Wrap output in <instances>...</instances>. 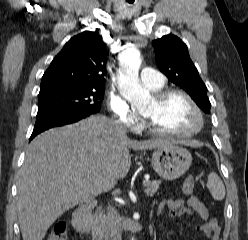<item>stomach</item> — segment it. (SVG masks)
Here are the masks:
<instances>
[{
    "label": "stomach",
    "mask_w": 248,
    "mask_h": 240,
    "mask_svg": "<svg viewBox=\"0 0 248 240\" xmlns=\"http://www.w3.org/2000/svg\"><path fill=\"white\" fill-rule=\"evenodd\" d=\"M191 153L184 147L171 144L158 148L152 155V167L166 180L182 176L191 166Z\"/></svg>",
    "instance_id": "1"
}]
</instances>
